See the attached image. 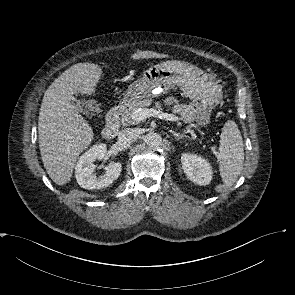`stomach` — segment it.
<instances>
[{
    "mask_svg": "<svg viewBox=\"0 0 295 295\" xmlns=\"http://www.w3.org/2000/svg\"><path fill=\"white\" fill-rule=\"evenodd\" d=\"M175 86L192 100L198 125L207 126L211 111L222 99V88L214 76L190 63L171 60L151 66L128 87L122 103L158 97Z\"/></svg>",
    "mask_w": 295,
    "mask_h": 295,
    "instance_id": "stomach-1",
    "label": "stomach"
}]
</instances>
